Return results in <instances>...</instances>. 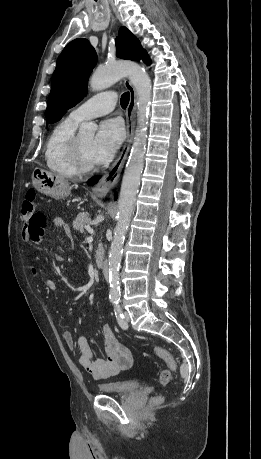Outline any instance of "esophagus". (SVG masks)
I'll use <instances>...</instances> for the list:
<instances>
[{
    "label": "esophagus",
    "instance_id": "obj_1",
    "mask_svg": "<svg viewBox=\"0 0 261 459\" xmlns=\"http://www.w3.org/2000/svg\"><path fill=\"white\" fill-rule=\"evenodd\" d=\"M125 87L129 91V103L126 109V140L117 159L92 189L93 194L98 197H105L116 185L134 137V113L137 103V94L134 86L128 79L125 80Z\"/></svg>",
    "mask_w": 261,
    "mask_h": 459
}]
</instances>
